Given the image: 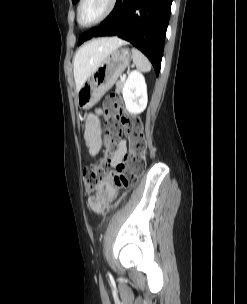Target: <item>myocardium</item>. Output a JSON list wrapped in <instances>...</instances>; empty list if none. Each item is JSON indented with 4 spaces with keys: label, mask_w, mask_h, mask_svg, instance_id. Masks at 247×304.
I'll list each match as a JSON object with an SVG mask.
<instances>
[{
    "label": "myocardium",
    "mask_w": 247,
    "mask_h": 304,
    "mask_svg": "<svg viewBox=\"0 0 247 304\" xmlns=\"http://www.w3.org/2000/svg\"><path fill=\"white\" fill-rule=\"evenodd\" d=\"M87 2V0H80L77 6V11H76V21L79 27L86 29V28H90L93 27L99 23H101L102 21H104L115 9L116 4H117V0H107V6L104 9V11L93 21L89 22V23H83L81 20V11H82V7L84 6V4Z\"/></svg>",
    "instance_id": "f54148a6"
}]
</instances>
